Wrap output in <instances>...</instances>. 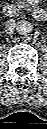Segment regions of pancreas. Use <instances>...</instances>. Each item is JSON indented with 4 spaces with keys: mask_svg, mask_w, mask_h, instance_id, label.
I'll list each match as a JSON object with an SVG mask.
<instances>
[{
    "mask_svg": "<svg viewBox=\"0 0 47 129\" xmlns=\"http://www.w3.org/2000/svg\"><path fill=\"white\" fill-rule=\"evenodd\" d=\"M33 0H26L25 2L24 1H19V2H16V6L20 9H26L29 7L30 5V2H32Z\"/></svg>",
    "mask_w": 47,
    "mask_h": 129,
    "instance_id": "pancreas-1",
    "label": "pancreas"
}]
</instances>
